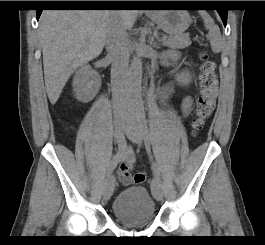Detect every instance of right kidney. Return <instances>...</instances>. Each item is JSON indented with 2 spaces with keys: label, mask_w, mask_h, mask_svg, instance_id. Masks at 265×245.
<instances>
[{
  "label": "right kidney",
  "mask_w": 265,
  "mask_h": 245,
  "mask_svg": "<svg viewBox=\"0 0 265 245\" xmlns=\"http://www.w3.org/2000/svg\"><path fill=\"white\" fill-rule=\"evenodd\" d=\"M72 86L79 101L89 102L97 95L101 78L91 66L83 65L76 71Z\"/></svg>",
  "instance_id": "ca27d5eb"
}]
</instances>
